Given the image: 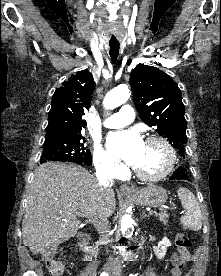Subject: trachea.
Segmentation results:
<instances>
[{"instance_id": "trachea-1", "label": "trachea", "mask_w": 221, "mask_h": 276, "mask_svg": "<svg viewBox=\"0 0 221 276\" xmlns=\"http://www.w3.org/2000/svg\"><path fill=\"white\" fill-rule=\"evenodd\" d=\"M110 46V56L113 62H116L117 57L119 55V48H120V43L118 41L116 42H109Z\"/></svg>"}]
</instances>
